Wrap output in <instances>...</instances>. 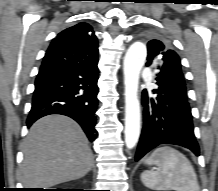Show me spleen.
Segmentation results:
<instances>
[{"mask_svg":"<svg viewBox=\"0 0 218 191\" xmlns=\"http://www.w3.org/2000/svg\"><path fill=\"white\" fill-rule=\"evenodd\" d=\"M160 170H146L143 184L152 190L200 191L197 175L190 161L178 150L165 146L156 149L144 161Z\"/></svg>","mask_w":218,"mask_h":191,"instance_id":"spleen-1","label":"spleen"}]
</instances>
